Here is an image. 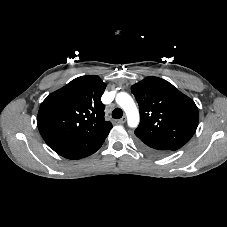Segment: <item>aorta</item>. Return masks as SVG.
I'll use <instances>...</instances> for the list:
<instances>
[{
  "label": "aorta",
  "instance_id": "762f6f07",
  "mask_svg": "<svg viewBox=\"0 0 227 227\" xmlns=\"http://www.w3.org/2000/svg\"><path fill=\"white\" fill-rule=\"evenodd\" d=\"M116 102L125 111L128 126L137 127L139 124V112L132 97L125 92H120L116 96Z\"/></svg>",
  "mask_w": 227,
  "mask_h": 227
}]
</instances>
